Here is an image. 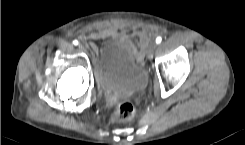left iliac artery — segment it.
I'll use <instances>...</instances> for the list:
<instances>
[{
	"label": "left iliac artery",
	"mask_w": 245,
	"mask_h": 145,
	"mask_svg": "<svg viewBox=\"0 0 245 145\" xmlns=\"http://www.w3.org/2000/svg\"><path fill=\"white\" fill-rule=\"evenodd\" d=\"M161 41H162V38L160 36L156 38V43L157 44L161 43Z\"/></svg>",
	"instance_id": "1"
}]
</instances>
